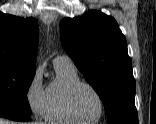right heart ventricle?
<instances>
[{
	"instance_id": "right-heart-ventricle-1",
	"label": "right heart ventricle",
	"mask_w": 156,
	"mask_h": 124,
	"mask_svg": "<svg viewBox=\"0 0 156 124\" xmlns=\"http://www.w3.org/2000/svg\"><path fill=\"white\" fill-rule=\"evenodd\" d=\"M56 78L46 88L45 119L55 124H82L70 112L67 104L69 88L81 81L75 66L54 65Z\"/></svg>"
}]
</instances>
